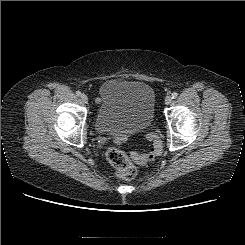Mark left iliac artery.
Returning a JSON list of instances; mask_svg holds the SVG:
<instances>
[{
	"instance_id": "obj_1",
	"label": "left iliac artery",
	"mask_w": 245,
	"mask_h": 245,
	"mask_svg": "<svg viewBox=\"0 0 245 245\" xmlns=\"http://www.w3.org/2000/svg\"><path fill=\"white\" fill-rule=\"evenodd\" d=\"M171 96H172L173 99H175V98H177L178 93L177 92H173Z\"/></svg>"
}]
</instances>
